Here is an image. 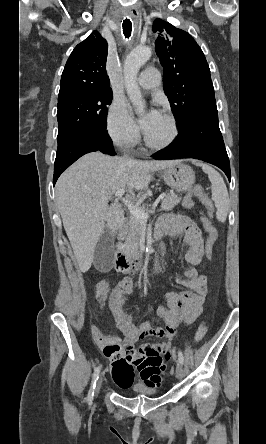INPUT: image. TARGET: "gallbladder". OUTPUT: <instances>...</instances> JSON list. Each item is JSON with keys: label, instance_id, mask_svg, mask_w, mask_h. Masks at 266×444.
Returning <instances> with one entry per match:
<instances>
[{"label": "gallbladder", "instance_id": "bac80fb5", "mask_svg": "<svg viewBox=\"0 0 266 444\" xmlns=\"http://www.w3.org/2000/svg\"><path fill=\"white\" fill-rule=\"evenodd\" d=\"M114 264L113 236L106 231L99 239L94 252V265L100 271H109Z\"/></svg>", "mask_w": 266, "mask_h": 444}]
</instances>
